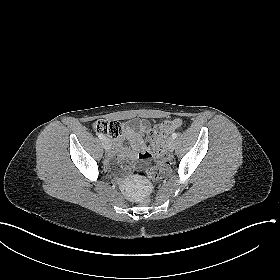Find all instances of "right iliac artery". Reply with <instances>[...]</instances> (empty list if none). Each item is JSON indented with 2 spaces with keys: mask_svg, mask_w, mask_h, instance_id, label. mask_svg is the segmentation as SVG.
<instances>
[{
  "mask_svg": "<svg viewBox=\"0 0 280 280\" xmlns=\"http://www.w3.org/2000/svg\"><path fill=\"white\" fill-rule=\"evenodd\" d=\"M98 137H99V139H104V136H103V134H98Z\"/></svg>",
  "mask_w": 280,
  "mask_h": 280,
  "instance_id": "obj_1",
  "label": "right iliac artery"
}]
</instances>
